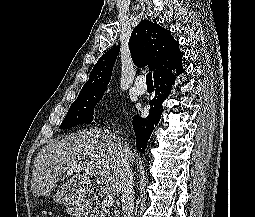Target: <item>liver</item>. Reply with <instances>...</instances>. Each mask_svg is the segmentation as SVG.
I'll return each instance as SVG.
<instances>
[{"label":"liver","mask_w":255,"mask_h":217,"mask_svg":"<svg viewBox=\"0 0 255 217\" xmlns=\"http://www.w3.org/2000/svg\"><path fill=\"white\" fill-rule=\"evenodd\" d=\"M119 138L108 130H83L50 142L44 146L34 160L31 191L35 197H50L67 167H81L56 191L51 198L56 203L68 204L85 200L92 185L86 170L99 175L98 184L106 194L121 192V175L118 159ZM135 159L131 152L130 162Z\"/></svg>","instance_id":"6515ba94"}]
</instances>
